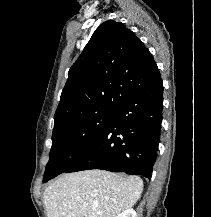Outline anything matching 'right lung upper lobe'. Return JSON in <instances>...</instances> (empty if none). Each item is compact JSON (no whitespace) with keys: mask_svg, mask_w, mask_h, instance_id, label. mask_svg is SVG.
I'll return each instance as SVG.
<instances>
[{"mask_svg":"<svg viewBox=\"0 0 211 217\" xmlns=\"http://www.w3.org/2000/svg\"><path fill=\"white\" fill-rule=\"evenodd\" d=\"M159 78L151 53L134 32L120 22L105 21L69 70L54 127L86 113L116 111L133 93Z\"/></svg>","mask_w":211,"mask_h":217,"instance_id":"cb5924a9","label":"right lung upper lobe"}]
</instances>
